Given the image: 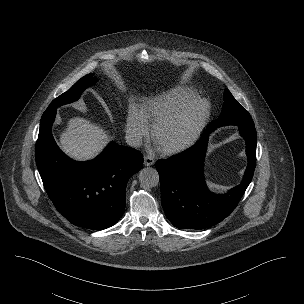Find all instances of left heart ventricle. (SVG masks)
<instances>
[{
  "mask_svg": "<svg viewBox=\"0 0 304 304\" xmlns=\"http://www.w3.org/2000/svg\"><path fill=\"white\" fill-rule=\"evenodd\" d=\"M196 119L197 112L192 111L185 116L170 122L163 128L159 141L164 144H170L184 139L192 130Z\"/></svg>",
  "mask_w": 304,
  "mask_h": 304,
  "instance_id": "b2bd125f",
  "label": "left heart ventricle"
}]
</instances>
